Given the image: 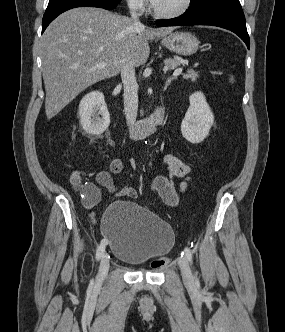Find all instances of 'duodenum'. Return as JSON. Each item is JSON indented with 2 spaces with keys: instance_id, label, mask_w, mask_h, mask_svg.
I'll list each match as a JSON object with an SVG mask.
<instances>
[{
  "instance_id": "1",
  "label": "duodenum",
  "mask_w": 285,
  "mask_h": 332,
  "mask_svg": "<svg viewBox=\"0 0 285 332\" xmlns=\"http://www.w3.org/2000/svg\"><path fill=\"white\" fill-rule=\"evenodd\" d=\"M164 121V112L159 108L151 117L135 123L130 128V135L136 139L146 138L155 133Z\"/></svg>"
}]
</instances>
